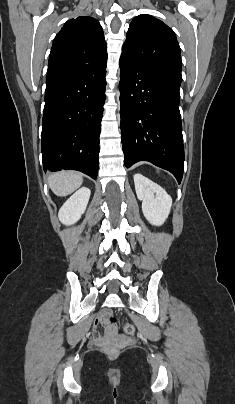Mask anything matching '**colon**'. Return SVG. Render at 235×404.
<instances>
[{
	"instance_id": "colon-1",
	"label": "colon",
	"mask_w": 235,
	"mask_h": 404,
	"mask_svg": "<svg viewBox=\"0 0 235 404\" xmlns=\"http://www.w3.org/2000/svg\"><path fill=\"white\" fill-rule=\"evenodd\" d=\"M104 317H105L104 325L109 328V330H108L109 333H113L118 326L117 316L110 311H106L104 313ZM121 328L124 333L129 334V335H131L135 332V328L131 323H124ZM95 335L97 337L102 336L99 330L95 331Z\"/></svg>"
}]
</instances>
